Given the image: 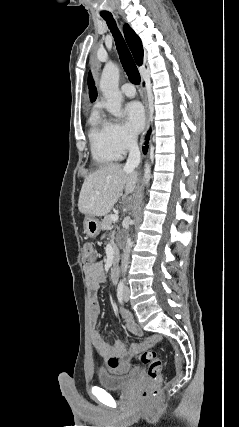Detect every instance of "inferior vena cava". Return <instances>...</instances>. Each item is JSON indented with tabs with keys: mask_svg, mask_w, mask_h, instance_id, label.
<instances>
[{
	"mask_svg": "<svg viewBox=\"0 0 239 427\" xmlns=\"http://www.w3.org/2000/svg\"><path fill=\"white\" fill-rule=\"evenodd\" d=\"M127 145H128V150H129V156H128L125 168L128 170H134V168L139 165L140 160H141V155H140V150H139L138 143H137V138L135 136H129ZM131 247H132L131 239L127 238V243H126V246L123 250L122 263H121V268H122V272L124 275H125L127 268H128L129 255H130Z\"/></svg>",
	"mask_w": 239,
	"mask_h": 427,
	"instance_id": "1",
	"label": "inferior vena cava"
}]
</instances>
